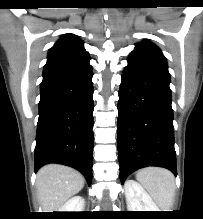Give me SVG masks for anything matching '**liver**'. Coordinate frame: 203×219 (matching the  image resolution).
<instances>
[{
  "label": "liver",
  "instance_id": "liver-1",
  "mask_svg": "<svg viewBox=\"0 0 203 219\" xmlns=\"http://www.w3.org/2000/svg\"><path fill=\"white\" fill-rule=\"evenodd\" d=\"M84 183L83 175L71 167L43 166L37 173L36 188L44 212H59L69 198L81 191Z\"/></svg>",
  "mask_w": 203,
  "mask_h": 219
}]
</instances>
